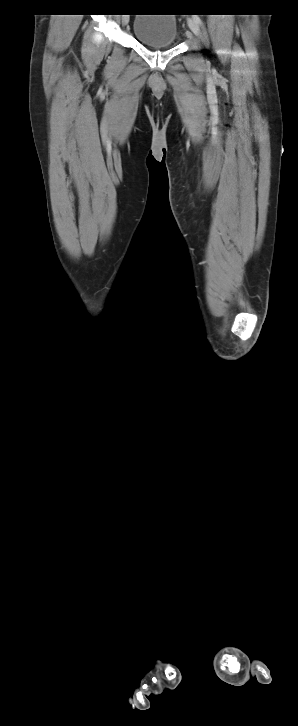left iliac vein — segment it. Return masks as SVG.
I'll use <instances>...</instances> for the list:
<instances>
[{"label": "left iliac vein", "instance_id": "left-iliac-vein-1", "mask_svg": "<svg viewBox=\"0 0 298 726\" xmlns=\"http://www.w3.org/2000/svg\"><path fill=\"white\" fill-rule=\"evenodd\" d=\"M188 26L196 36L200 35L199 24L193 18L188 19Z\"/></svg>", "mask_w": 298, "mask_h": 726}]
</instances>
